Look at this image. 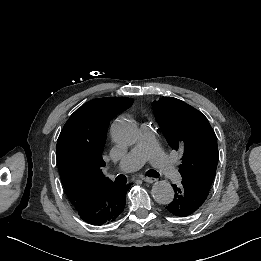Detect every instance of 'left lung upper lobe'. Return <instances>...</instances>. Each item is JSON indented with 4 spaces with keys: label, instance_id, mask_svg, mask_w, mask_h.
I'll list each match as a JSON object with an SVG mask.
<instances>
[{
    "label": "left lung upper lobe",
    "instance_id": "1",
    "mask_svg": "<svg viewBox=\"0 0 261 261\" xmlns=\"http://www.w3.org/2000/svg\"><path fill=\"white\" fill-rule=\"evenodd\" d=\"M153 111L169 145L183 153L179 171L183 179L210 189L219 159L216 135L207 118L176 98H160Z\"/></svg>",
    "mask_w": 261,
    "mask_h": 261
}]
</instances>
